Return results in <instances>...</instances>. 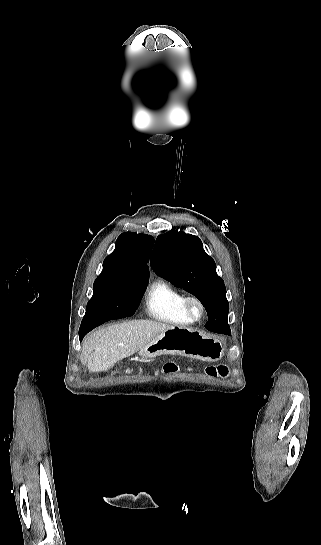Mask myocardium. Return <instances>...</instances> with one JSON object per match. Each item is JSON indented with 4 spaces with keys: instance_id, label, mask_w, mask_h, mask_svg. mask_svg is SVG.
Wrapping results in <instances>:
<instances>
[{
    "instance_id": "f54148a6",
    "label": "myocardium",
    "mask_w": 321,
    "mask_h": 545,
    "mask_svg": "<svg viewBox=\"0 0 321 545\" xmlns=\"http://www.w3.org/2000/svg\"><path fill=\"white\" fill-rule=\"evenodd\" d=\"M184 310L187 316L193 321H200L205 314V307L201 299L195 295L186 296Z\"/></svg>"
}]
</instances>
